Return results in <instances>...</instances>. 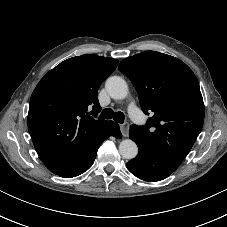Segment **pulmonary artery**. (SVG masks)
<instances>
[{"mask_svg": "<svg viewBox=\"0 0 227 227\" xmlns=\"http://www.w3.org/2000/svg\"><path fill=\"white\" fill-rule=\"evenodd\" d=\"M129 114L131 115V117L133 119H137L138 118V116H137V108H136V106L133 103H131L129 105Z\"/></svg>", "mask_w": 227, "mask_h": 227, "instance_id": "pulmonary-artery-1", "label": "pulmonary artery"}]
</instances>
